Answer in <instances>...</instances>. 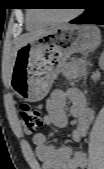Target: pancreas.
<instances>
[{
	"label": "pancreas",
	"mask_w": 104,
	"mask_h": 169,
	"mask_svg": "<svg viewBox=\"0 0 104 169\" xmlns=\"http://www.w3.org/2000/svg\"><path fill=\"white\" fill-rule=\"evenodd\" d=\"M86 66L87 63L84 60L77 59L71 62H68L64 66V76L68 80H74L79 77L86 75Z\"/></svg>",
	"instance_id": "pancreas-1"
}]
</instances>
